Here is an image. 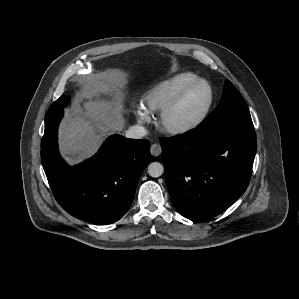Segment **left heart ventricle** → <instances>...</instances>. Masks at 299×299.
Wrapping results in <instances>:
<instances>
[{"label": "left heart ventricle", "mask_w": 299, "mask_h": 299, "mask_svg": "<svg viewBox=\"0 0 299 299\" xmlns=\"http://www.w3.org/2000/svg\"><path fill=\"white\" fill-rule=\"evenodd\" d=\"M209 98V91L205 85L191 89L171 111L168 122L182 125L195 120L205 108Z\"/></svg>", "instance_id": "1"}]
</instances>
